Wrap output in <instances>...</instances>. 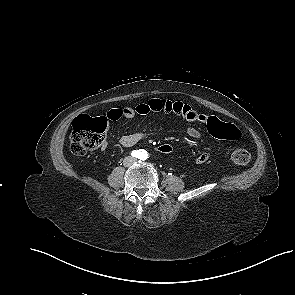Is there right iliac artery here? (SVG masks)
Listing matches in <instances>:
<instances>
[{"label":"right iliac artery","instance_id":"obj_1","mask_svg":"<svg viewBox=\"0 0 295 295\" xmlns=\"http://www.w3.org/2000/svg\"><path fill=\"white\" fill-rule=\"evenodd\" d=\"M131 155L133 157L139 158L141 155V152H140V150H134V151H132Z\"/></svg>","mask_w":295,"mask_h":295}]
</instances>
